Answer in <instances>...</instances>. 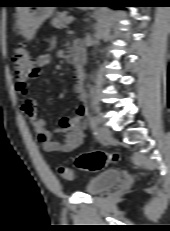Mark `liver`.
I'll use <instances>...</instances> for the list:
<instances>
[{"instance_id": "obj_1", "label": "liver", "mask_w": 170, "mask_h": 231, "mask_svg": "<svg viewBox=\"0 0 170 231\" xmlns=\"http://www.w3.org/2000/svg\"><path fill=\"white\" fill-rule=\"evenodd\" d=\"M21 10H22V7H18V8H17V12H18V13H20Z\"/></svg>"}]
</instances>
